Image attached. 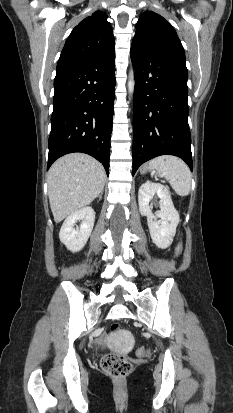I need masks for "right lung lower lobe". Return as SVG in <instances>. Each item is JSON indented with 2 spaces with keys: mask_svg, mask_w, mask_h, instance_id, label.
<instances>
[{
  "mask_svg": "<svg viewBox=\"0 0 233 413\" xmlns=\"http://www.w3.org/2000/svg\"><path fill=\"white\" fill-rule=\"evenodd\" d=\"M115 84L114 50L57 68L47 169L65 154L83 152L109 174Z\"/></svg>",
  "mask_w": 233,
  "mask_h": 413,
  "instance_id": "obj_1",
  "label": "right lung lower lobe"
}]
</instances>
